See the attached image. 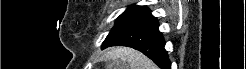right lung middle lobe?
Wrapping results in <instances>:
<instances>
[{
	"label": "right lung middle lobe",
	"instance_id": "dd1d6c3e",
	"mask_svg": "<svg viewBox=\"0 0 246 69\" xmlns=\"http://www.w3.org/2000/svg\"><path fill=\"white\" fill-rule=\"evenodd\" d=\"M143 21V17H119L116 20V24L110 31L109 35L106 37L102 44V48L108 47V45L113 42L117 37L122 35L124 32L135 27Z\"/></svg>",
	"mask_w": 246,
	"mask_h": 69
}]
</instances>
